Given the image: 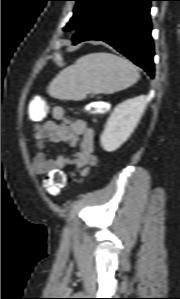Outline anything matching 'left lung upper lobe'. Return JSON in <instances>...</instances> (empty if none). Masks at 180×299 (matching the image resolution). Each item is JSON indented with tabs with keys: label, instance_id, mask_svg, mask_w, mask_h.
Instances as JSON below:
<instances>
[{
	"label": "left lung upper lobe",
	"instance_id": "left-lung-upper-lobe-1",
	"mask_svg": "<svg viewBox=\"0 0 180 299\" xmlns=\"http://www.w3.org/2000/svg\"><path fill=\"white\" fill-rule=\"evenodd\" d=\"M73 1H76L74 14L73 17L70 19L69 23L64 28L65 31L78 29V27L84 21L88 12L91 10L93 5L97 2V0H73Z\"/></svg>",
	"mask_w": 180,
	"mask_h": 299
}]
</instances>
